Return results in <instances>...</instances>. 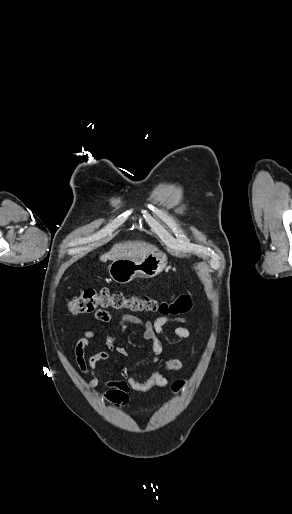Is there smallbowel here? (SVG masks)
<instances>
[{
	"instance_id": "1",
	"label": "small bowel",
	"mask_w": 292,
	"mask_h": 514,
	"mask_svg": "<svg viewBox=\"0 0 292 514\" xmlns=\"http://www.w3.org/2000/svg\"><path fill=\"white\" fill-rule=\"evenodd\" d=\"M94 318L99 322L108 323L113 319V315L105 309H98L94 312ZM171 322L185 323L186 319L183 317H159L152 322L148 319H141L132 313L123 314L115 321L114 332L105 335V346L109 351H116L122 356H127V350L119 346L120 331L129 326H137L142 331L143 339L151 343L155 355L153 362L157 363L159 362V356L163 352L159 336L164 332L165 326ZM97 333V329L85 331L74 347L77 366L81 373L90 377L88 386L91 389H96L102 383L98 375V365L109 358L108 352L105 351L97 352L89 357L86 356V350L91 346L92 339ZM172 335L178 339H188L191 337V331L184 326H178L173 329ZM183 367L184 364L180 359L169 358L163 362L160 368L152 370L148 378L143 381L136 379L127 369H124L122 371V378L105 382L107 390L100 395L101 399L112 402L115 405H124L127 403L128 393L131 390L147 392L152 388L166 387L171 382L166 373L180 371Z\"/></svg>"
}]
</instances>
